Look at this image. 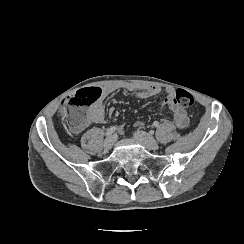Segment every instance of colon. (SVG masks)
I'll return each mask as SVG.
<instances>
[{
	"label": "colon",
	"instance_id": "1",
	"mask_svg": "<svg viewBox=\"0 0 244 244\" xmlns=\"http://www.w3.org/2000/svg\"><path fill=\"white\" fill-rule=\"evenodd\" d=\"M101 90L96 85H89L81 91L73 92L68 97V104L61 105V115L67 126L74 131H81L88 121L86 106L99 100ZM171 104L191 107L194 104L193 95L185 89L179 88L171 99Z\"/></svg>",
	"mask_w": 244,
	"mask_h": 244
}]
</instances>
